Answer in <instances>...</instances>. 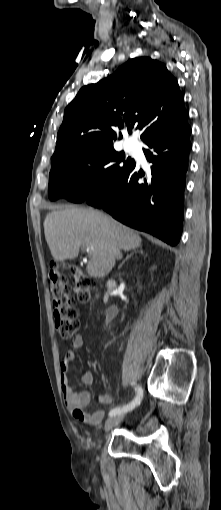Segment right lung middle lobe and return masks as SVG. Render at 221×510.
<instances>
[{
    "instance_id": "dd1d6c3e",
    "label": "right lung middle lobe",
    "mask_w": 221,
    "mask_h": 510,
    "mask_svg": "<svg viewBox=\"0 0 221 510\" xmlns=\"http://www.w3.org/2000/svg\"><path fill=\"white\" fill-rule=\"evenodd\" d=\"M113 145L73 151L51 166L48 196L81 203L112 187L134 166Z\"/></svg>"
}]
</instances>
